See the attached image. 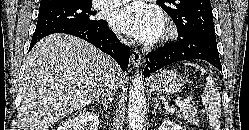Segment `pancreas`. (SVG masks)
Returning <instances> with one entry per match:
<instances>
[{
    "label": "pancreas",
    "instance_id": "cf45deb5",
    "mask_svg": "<svg viewBox=\"0 0 249 130\" xmlns=\"http://www.w3.org/2000/svg\"><path fill=\"white\" fill-rule=\"evenodd\" d=\"M177 113V117L183 118L192 124L197 125L199 123L196 107L186 105L182 107Z\"/></svg>",
    "mask_w": 249,
    "mask_h": 130
}]
</instances>
